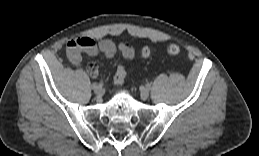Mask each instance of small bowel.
Here are the masks:
<instances>
[{
    "mask_svg": "<svg viewBox=\"0 0 259 156\" xmlns=\"http://www.w3.org/2000/svg\"><path fill=\"white\" fill-rule=\"evenodd\" d=\"M118 49L126 59H133L134 50L129 44L122 43L117 47L112 40L106 38L98 41L90 37L72 39L67 43L66 54L71 63L78 65L81 62L82 53L92 57L102 53L105 57L112 58ZM87 72L90 76L96 77L99 73L98 66L93 62L89 63Z\"/></svg>",
    "mask_w": 259,
    "mask_h": 156,
    "instance_id": "small-bowel-1",
    "label": "small bowel"
}]
</instances>
